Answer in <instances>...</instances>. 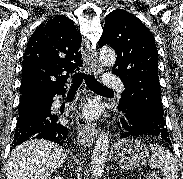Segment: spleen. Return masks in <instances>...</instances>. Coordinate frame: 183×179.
<instances>
[{
	"mask_svg": "<svg viewBox=\"0 0 183 179\" xmlns=\"http://www.w3.org/2000/svg\"><path fill=\"white\" fill-rule=\"evenodd\" d=\"M150 147V168H160L163 171V179H178L179 166L176 158L161 145L151 144Z\"/></svg>",
	"mask_w": 183,
	"mask_h": 179,
	"instance_id": "1",
	"label": "spleen"
}]
</instances>
